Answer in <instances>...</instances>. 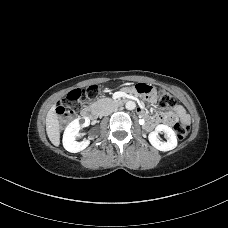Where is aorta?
Here are the masks:
<instances>
[{
	"label": "aorta",
	"instance_id": "1",
	"mask_svg": "<svg viewBox=\"0 0 228 228\" xmlns=\"http://www.w3.org/2000/svg\"><path fill=\"white\" fill-rule=\"evenodd\" d=\"M125 107L127 110H134L136 107V104L134 101H128L126 102Z\"/></svg>",
	"mask_w": 228,
	"mask_h": 228
}]
</instances>
